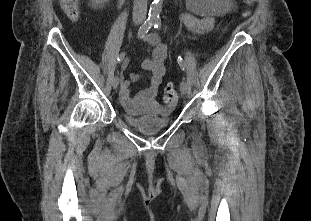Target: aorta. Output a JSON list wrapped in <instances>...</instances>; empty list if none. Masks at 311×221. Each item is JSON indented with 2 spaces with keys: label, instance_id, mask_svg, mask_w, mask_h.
<instances>
[{
  "label": "aorta",
  "instance_id": "762f6f07",
  "mask_svg": "<svg viewBox=\"0 0 311 221\" xmlns=\"http://www.w3.org/2000/svg\"><path fill=\"white\" fill-rule=\"evenodd\" d=\"M162 10V0H154L150 6L149 18L151 20H160V12Z\"/></svg>",
  "mask_w": 311,
  "mask_h": 221
}]
</instances>
